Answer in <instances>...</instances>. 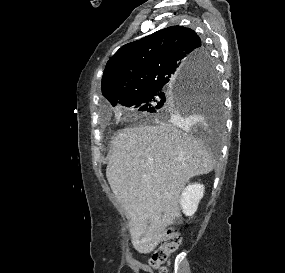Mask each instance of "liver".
<instances>
[{
	"mask_svg": "<svg viewBox=\"0 0 285 273\" xmlns=\"http://www.w3.org/2000/svg\"><path fill=\"white\" fill-rule=\"evenodd\" d=\"M173 122L185 128L183 120ZM112 145L107 180L130 219L134 248L150 253L180 215L185 184L211 172L213 158L199 140L167 123L120 130Z\"/></svg>",
	"mask_w": 285,
	"mask_h": 273,
	"instance_id": "liver-1",
	"label": "liver"
}]
</instances>
